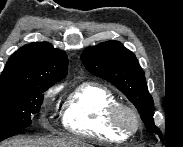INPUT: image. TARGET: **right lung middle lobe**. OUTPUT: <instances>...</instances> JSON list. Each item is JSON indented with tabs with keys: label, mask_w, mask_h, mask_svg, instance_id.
Here are the masks:
<instances>
[{
	"label": "right lung middle lobe",
	"mask_w": 183,
	"mask_h": 147,
	"mask_svg": "<svg viewBox=\"0 0 183 147\" xmlns=\"http://www.w3.org/2000/svg\"><path fill=\"white\" fill-rule=\"evenodd\" d=\"M48 87L41 82L0 87V141L31 125V116L39 112Z\"/></svg>",
	"instance_id": "right-lung-middle-lobe-1"
}]
</instances>
